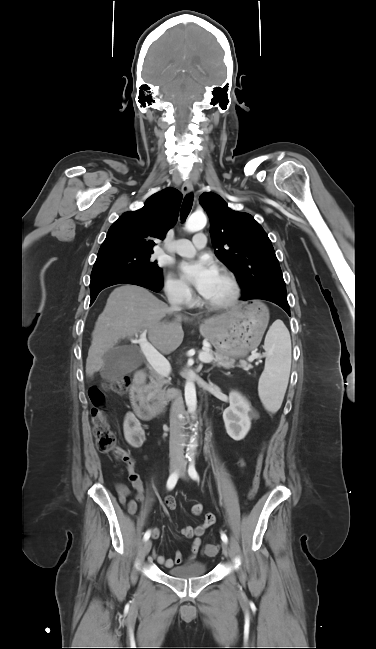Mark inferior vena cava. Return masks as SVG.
Returning <instances> with one entry per match:
<instances>
[{"instance_id":"602c4592","label":"inferior vena cava","mask_w":376,"mask_h":649,"mask_svg":"<svg viewBox=\"0 0 376 649\" xmlns=\"http://www.w3.org/2000/svg\"><path fill=\"white\" fill-rule=\"evenodd\" d=\"M181 287L178 288L176 293L170 292L168 299L171 304V307L175 311L181 310L179 303H181V293L179 292ZM173 410L176 412L171 419V436H170V455H183V437H182V428L183 423L178 419L177 414L183 410V400L179 395H175V400L173 403Z\"/></svg>"}]
</instances>
